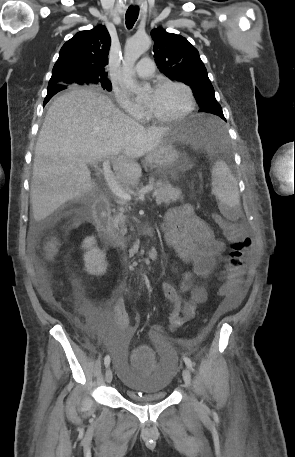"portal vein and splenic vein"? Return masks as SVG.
I'll return each mask as SVG.
<instances>
[{
	"label": "portal vein and splenic vein",
	"mask_w": 295,
	"mask_h": 457,
	"mask_svg": "<svg viewBox=\"0 0 295 457\" xmlns=\"http://www.w3.org/2000/svg\"><path fill=\"white\" fill-rule=\"evenodd\" d=\"M103 172H104V177L106 179L107 185L109 186V188L112 191V193L114 195H116L117 197H119L120 199L131 200V195L128 192H126L121 187V185L118 183V181L116 180V177L114 176V173L111 170L110 161L109 160H105L103 162ZM152 190H153V186L152 185H148V186L142 188L138 192V194L141 195V196H144L146 193H148V192H150Z\"/></svg>",
	"instance_id": "portal-vein-and-splenic-vein-1"
}]
</instances>
